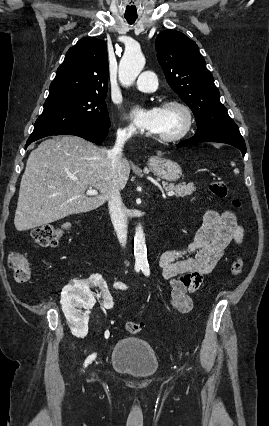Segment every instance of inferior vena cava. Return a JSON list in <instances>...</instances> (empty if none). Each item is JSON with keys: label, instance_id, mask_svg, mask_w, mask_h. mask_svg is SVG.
<instances>
[{"label": "inferior vena cava", "instance_id": "obj_1", "mask_svg": "<svg viewBox=\"0 0 269 426\" xmlns=\"http://www.w3.org/2000/svg\"><path fill=\"white\" fill-rule=\"evenodd\" d=\"M131 137V133L119 131L114 148L110 151L112 181L108 198V207L112 224L116 231L121 245L124 247L127 242V213L120 196V185L118 182V172L122 166V150L125 142Z\"/></svg>", "mask_w": 269, "mask_h": 426}]
</instances>
